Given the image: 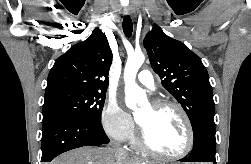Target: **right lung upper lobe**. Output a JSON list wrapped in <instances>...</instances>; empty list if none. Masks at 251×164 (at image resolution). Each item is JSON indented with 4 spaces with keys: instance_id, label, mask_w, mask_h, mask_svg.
Here are the masks:
<instances>
[{
    "instance_id": "obj_1",
    "label": "right lung upper lobe",
    "mask_w": 251,
    "mask_h": 164,
    "mask_svg": "<svg viewBox=\"0 0 251 164\" xmlns=\"http://www.w3.org/2000/svg\"><path fill=\"white\" fill-rule=\"evenodd\" d=\"M112 57L106 36L96 28L88 39L56 59L48 75L46 91L73 88L106 92Z\"/></svg>"
}]
</instances>
